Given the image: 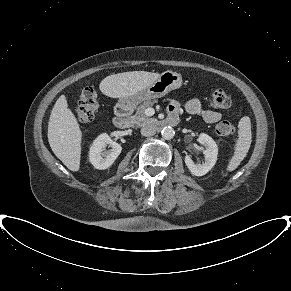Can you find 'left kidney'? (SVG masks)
<instances>
[{"mask_svg": "<svg viewBox=\"0 0 291 291\" xmlns=\"http://www.w3.org/2000/svg\"><path fill=\"white\" fill-rule=\"evenodd\" d=\"M198 142L203 144L206 150L203 151L205 162L203 164H195L190 155L185 156V163L190 172L195 176H203L208 173L217 161L218 147L215 141L207 134L201 133Z\"/></svg>", "mask_w": 291, "mask_h": 291, "instance_id": "1", "label": "left kidney"}]
</instances>
